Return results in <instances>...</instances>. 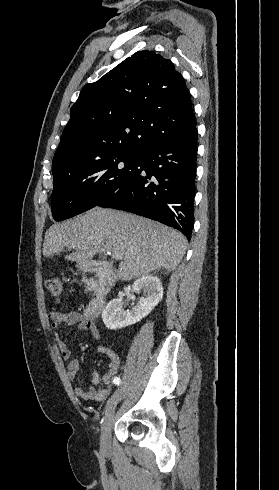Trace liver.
<instances>
[{"instance_id":"obj_1","label":"liver","mask_w":279,"mask_h":490,"mask_svg":"<svg viewBox=\"0 0 279 490\" xmlns=\"http://www.w3.org/2000/svg\"><path fill=\"white\" fill-rule=\"evenodd\" d=\"M186 244L181 232L159 222L118 210L93 208L73 220L53 224L45 234L43 256L64 252V248L76 250L66 260L85 268L96 254H112L115 260H121L117 278L127 282L160 268L173 272L186 252Z\"/></svg>"}]
</instances>
